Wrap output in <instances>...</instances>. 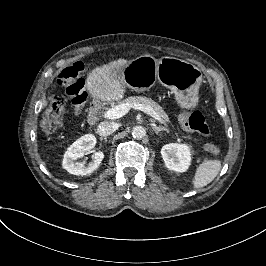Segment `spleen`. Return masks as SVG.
I'll return each mask as SVG.
<instances>
[{"label": "spleen", "instance_id": "spleen-1", "mask_svg": "<svg viewBox=\"0 0 266 266\" xmlns=\"http://www.w3.org/2000/svg\"><path fill=\"white\" fill-rule=\"evenodd\" d=\"M221 169L219 160H204L196 170L193 185L202 188L212 182Z\"/></svg>", "mask_w": 266, "mask_h": 266}]
</instances>
